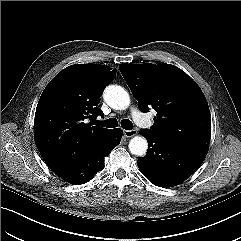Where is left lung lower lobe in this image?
I'll return each instance as SVG.
<instances>
[{"mask_svg": "<svg viewBox=\"0 0 241 241\" xmlns=\"http://www.w3.org/2000/svg\"><path fill=\"white\" fill-rule=\"evenodd\" d=\"M148 141L147 154L137 161L140 172L154 185L171 187L190 177L202 164L206 152L165 141L141 130Z\"/></svg>", "mask_w": 241, "mask_h": 241, "instance_id": "left-lung-lower-lobe-1", "label": "left lung lower lobe"}]
</instances>
